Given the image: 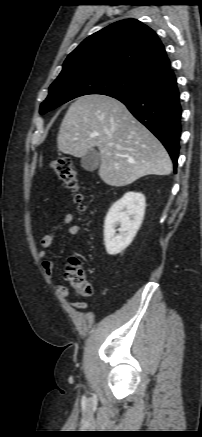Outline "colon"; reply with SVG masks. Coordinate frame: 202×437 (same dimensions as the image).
Wrapping results in <instances>:
<instances>
[{
	"mask_svg": "<svg viewBox=\"0 0 202 437\" xmlns=\"http://www.w3.org/2000/svg\"><path fill=\"white\" fill-rule=\"evenodd\" d=\"M51 168L65 186L74 193L79 209L84 211L86 208L84 195L80 190L77 171L72 161L67 157L57 158L51 162ZM65 279L78 296L88 297L92 294V286L78 257L74 256L68 260L65 269Z\"/></svg>",
	"mask_w": 202,
	"mask_h": 437,
	"instance_id": "5ec220e1",
	"label": "colon"
}]
</instances>
